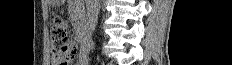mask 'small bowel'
<instances>
[{"label": "small bowel", "mask_w": 232, "mask_h": 65, "mask_svg": "<svg viewBox=\"0 0 232 65\" xmlns=\"http://www.w3.org/2000/svg\"><path fill=\"white\" fill-rule=\"evenodd\" d=\"M86 54H83L82 51H81V59H80V63H79L80 65H83V61H84V58H85Z\"/></svg>", "instance_id": "c3829d8e"}]
</instances>
